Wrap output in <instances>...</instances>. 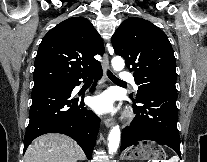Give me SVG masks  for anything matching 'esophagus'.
Here are the masks:
<instances>
[{"label":"esophagus","mask_w":207,"mask_h":162,"mask_svg":"<svg viewBox=\"0 0 207 162\" xmlns=\"http://www.w3.org/2000/svg\"><path fill=\"white\" fill-rule=\"evenodd\" d=\"M107 49L110 50L111 49V45L110 43H107L106 45ZM109 57H108V54L105 53L104 54V57H103V70H104V77L105 79L107 80V70L109 69ZM104 124L106 127H112L113 125V120L109 117H105L104 120H103Z\"/></svg>","instance_id":"34e87169"}]
</instances>
